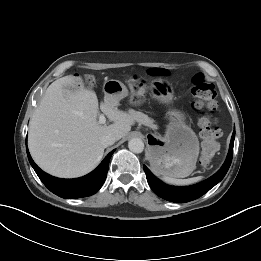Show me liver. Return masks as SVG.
I'll use <instances>...</instances> for the list:
<instances>
[{
    "instance_id": "liver-1",
    "label": "liver",
    "mask_w": 261,
    "mask_h": 261,
    "mask_svg": "<svg viewBox=\"0 0 261 261\" xmlns=\"http://www.w3.org/2000/svg\"><path fill=\"white\" fill-rule=\"evenodd\" d=\"M73 75L54 81L46 90L29 126L28 147L36 164L47 173L75 178L91 172L101 161V138L111 134L120 140L135 119L104 99L100 109L113 122L100 125L96 93ZM76 88V89H75Z\"/></svg>"
}]
</instances>
